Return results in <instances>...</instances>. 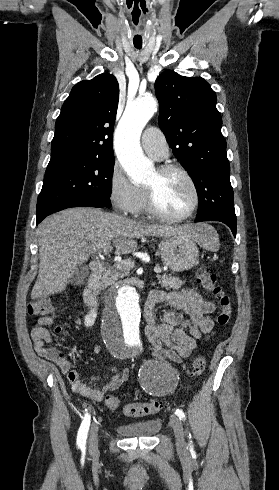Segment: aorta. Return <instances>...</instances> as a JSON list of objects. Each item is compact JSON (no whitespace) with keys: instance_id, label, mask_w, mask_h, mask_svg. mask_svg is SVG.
<instances>
[{"instance_id":"762f6f07","label":"aorta","mask_w":279,"mask_h":490,"mask_svg":"<svg viewBox=\"0 0 279 490\" xmlns=\"http://www.w3.org/2000/svg\"><path fill=\"white\" fill-rule=\"evenodd\" d=\"M154 97L129 103L114 135V148L119 162L134 183L146 181L153 170L145 157L140 136L147 122L157 111ZM102 333L115 353H126L141 342V308L136 289L124 285L112 292L103 312Z\"/></svg>"}]
</instances>
